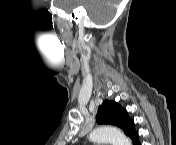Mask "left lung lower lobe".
Listing matches in <instances>:
<instances>
[{"label":"left lung lower lobe","instance_id":"left-lung-lower-lobe-1","mask_svg":"<svg viewBox=\"0 0 176 145\" xmlns=\"http://www.w3.org/2000/svg\"><path fill=\"white\" fill-rule=\"evenodd\" d=\"M132 141H133V144H134V145H140L139 139H138V135H136V136L132 139Z\"/></svg>","mask_w":176,"mask_h":145}]
</instances>
